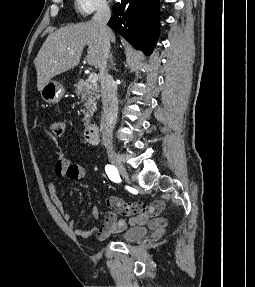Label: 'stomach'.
<instances>
[{
  "label": "stomach",
  "mask_w": 255,
  "mask_h": 287,
  "mask_svg": "<svg viewBox=\"0 0 255 287\" xmlns=\"http://www.w3.org/2000/svg\"><path fill=\"white\" fill-rule=\"evenodd\" d=\"M41 98L47 104H58L60 100H62L65 94V88H63L60 82H55V80H50L45 84L44 88H42Z\"/></svg>",
  "instance_id": "1"
}]
</instances>
